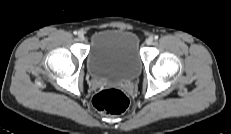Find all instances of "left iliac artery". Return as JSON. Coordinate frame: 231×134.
<instances>
[{
    "label": "left iliac artery",
    "instance_id": "left-iliac-artery-1",
    "mask_svg": "<svg viewBox=\"0 0 231 134\" xmlns=\"http://www.w3.org/2000/svg\"><path fill=\"white\" fill-rule=\"evenodd\" d=\"M158 38H159L158 35H155V36H154V39H155V40H157Z\"/></svg>",
    "mask_w": 231,
    "mask_h": 134
}]
</instances>
